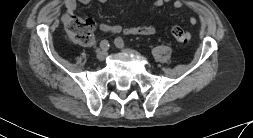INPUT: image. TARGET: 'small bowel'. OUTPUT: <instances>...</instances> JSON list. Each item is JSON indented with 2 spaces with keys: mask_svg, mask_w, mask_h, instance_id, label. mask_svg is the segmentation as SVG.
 I'll list each match as a JSON object with an SVG mask.
<instances>
[{
  "mask_svg": "<svg viewBox=\"0 0 253 138\" xmlns=\"http://www.w3.org/2000/svg\"><path fill=\"white\" fill-rule=\"evenodd\" d=\"M95 0H64V7L66 9L67 14L73 13V11L77 7V2H80L82 4H88ZM101 3H105L108 0H96ZM171 0H153V5L155 7L163 6L167 3H169ZM187 5L186 2L183 0H176L173 3V7L176 9H180L183 6ZM197 22V19L192 17L190 18V23L195 24ZM97 28L101 32H110L114 34H123V35H153L156 33L157 29L153 25H139L135 27H122L119 25H111L108 23H100Z\"/></svg>",
  "mask_w": 253,
  "mask_h": 138,
  "instance_id": "c3829d8e",
  "label": "small bowel"
}]
</instances>
